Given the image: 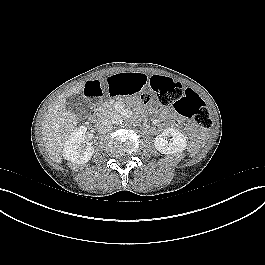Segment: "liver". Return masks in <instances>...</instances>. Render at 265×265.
Wrapping results in <instances>:
<instances>
[{
  "label": "liver",
  "mask_w": 265,
  "mask_h": 265,
  "mask_svg": "<svg viewBox=\"0 0 265 265\" xmlns=\"http://www.w3.org/2000/svg\"><path fill=\"white\" fill-rule=\"evenodd\" d=\"M84 86L85 83L81 82L61 94L44 115L42 122L43 141L48 154L56 163H61L65 141L78 123L77 115L66 109V99L71 95L79 94Z\"/></svg>",
  "instance_id": "obj_1"
}]
</instances>
